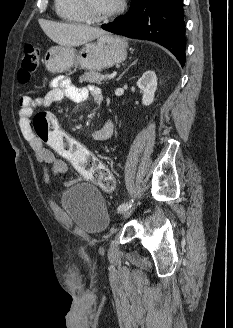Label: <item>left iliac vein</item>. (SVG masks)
Here are the masks:
<instances>
[{
  "instance_id": "1",
  "label": "left iliac vein",
  "mask_w": 233,
  "mask_h": 328,
  "mask_svg": "<svg viewBox=\"0 0 233 328\" xmlns=\"http://www.w3.org/2000/svg\"><path fill=\"white\" fill-rule=\"evenodd\" d=\"M135 209V207H129L127 210H125L124 212H123V216L124 217H127L133 210Z\"/></svg>"
}]
</instances>
